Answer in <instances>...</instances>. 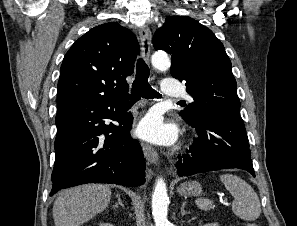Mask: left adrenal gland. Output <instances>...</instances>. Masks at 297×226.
<instances>
[{"label":"left adrenal gland","instance_id":"a2214340","mask_svg":"<svg viewBox=\"0 0 297 226\" xmlns=\"http://www.w3.org/2000/svg\"><path fill=\"white\" fill-rule=\"evenodd\" d=\"M185 204H186V202H183L182 207H181V215L182 216L188 214V212L185 211V209H184L185 208Z\"/></svg>","mask_w":297,"mask_h":226}]
</instances>
